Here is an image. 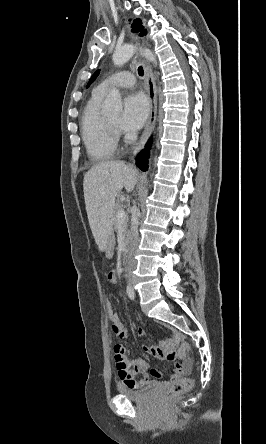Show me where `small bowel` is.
I'll use <instances>...</instances> for the list:
<instances>
[{"label":"small bowel","instance_id":"1","mask_svg":"<svg viewBox=\"0 0 266 444\" xmlns=\"http://www.w3.org/2000/svg\"><path fill=\"white\" fill-rule=\"evenodd\" d=\"M116 273L110 272L108 274V280L111 283L116 281ZM112 325V331L118 338H127L128 330L124 327L119 315L110 320ZM140 336L144 335L142 330H139ZM180 336L174 335L171 338L163 340L158 346L146 345L142 346V349L147 354L153 355L160 359H167L174 361L176 352L173 350L176 344L179 342ZM114 355L117 363L118 375L122 381V386L130 389H137L150 384H157L161 379V373L156 369L149 371V365L144 359H137L135 361H129L125 354V348L121 345L114 347ZM191 369V363L189 359H184L183 363H174V368L170 380L165 382L169 384L177 380L182 374L188 373ZM137 374H142L140 378H136Z\"/></svg>","mask_w":266,"mask_h":444}]
</instances>
